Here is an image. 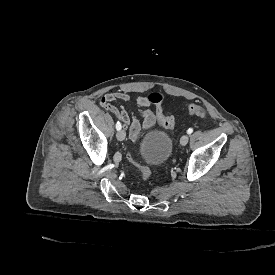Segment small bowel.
Masks as SVG:
<instances>
[{
    "label": "small bowel",
    "instance_id": "c3829d8e",
    "mask_svg": "<svg viewBox=\"0 0 275 275\" xmlns=\"http://www.w3.org/2000/svg\"><path fill=\"white\" fill-rule=\"evenodd\" d=\"M129 101L130 94L127 91H115L103 95L99 99V105L117 117L122 123L128 125V136L132 141H139L144 133L153 128L155 117L150 109V101L144 95H138L135 99L142 122L137 116H130L123 107L116 105L117 102L127 103Z\"/></svg>",
    "mask_w": 275,
    "mask_h": 275
}]
</instances>
